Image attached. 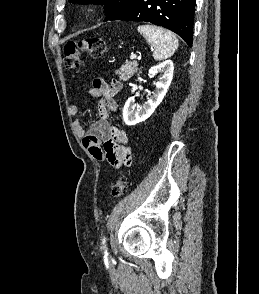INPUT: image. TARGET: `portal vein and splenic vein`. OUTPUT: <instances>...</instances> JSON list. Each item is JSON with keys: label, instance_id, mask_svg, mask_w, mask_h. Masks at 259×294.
Instances as JSON below:
<instances>
[{"label": "portal vein and splenic vein", "instance_id": "obj_1", "mask_svg": "<svg viewBox=\"0 0 259 294\" xmlns=\"http://www.w3.org/2000/svg\"><path fill=\"white\" fill-rule=\"evenodd\" d=\"M136 58H137L136 55H131V56H130V59H131V60H134V59H136Z\"/></svg>", "mask_w": 259, "mask_h": 294}]
</instances>
